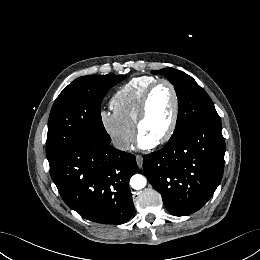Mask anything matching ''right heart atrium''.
Instances as JSON below:
<instances>
[{
  "mask_svg": "<svg viewBox=\"0 0 260 260\" xmlns=\"http://www.w3.org/2000/svg\"><path fill=\"white\" fill-rule=\"evenodd\" d=\"M99 119L113 146L118 150L126 151L135 139V125L127 122L114 110H102L99 114Z\"/></svg>",
  "mask_w": 260,
  "mask_h": 260,
  "instance_id": "1",
  "label": "right heart atrium"
}]
</instances>
